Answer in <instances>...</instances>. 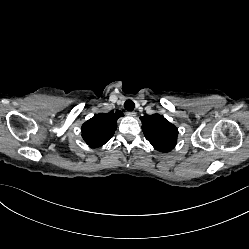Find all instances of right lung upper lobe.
Instances as JSON below:
<instances>
[{"label":"right lung upper lobe","mask_w":249,"mask_h":249,"mask_svg":"<svg viewBox=\"0 0 249 249\" xmlns=\"http://www.w3.org/2000/svg\"><path fill=\"white\" fill-rule=\"evenodd\" d=\"M121 111L100 113L86 121L81 128L84 141L91 147H100L107 143L117 129V119Z\"/></svg>","instance_id":"cb5924a9"}]
</instances>
